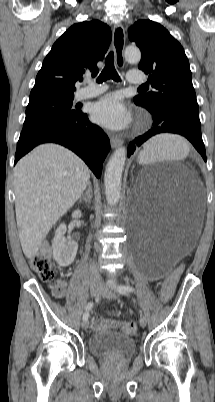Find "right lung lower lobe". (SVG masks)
I'll use <instances>...</instances> for the list:
<instances>
[{"instance_id":"right-lung-lower-lobe-1","label":"right lung lower lobe","mask_w":215,"mask_h":402,"mask_svg":"<svg viewBox=\"0 0 215 402\" xmlns=\"http://www.w3.org/2000/svg\"><path fill=\"white\" fill-rule=\"evenodd\" d=\"M47 142L69 148L84 160L96 177H100L103 161L110 150V141L100 127L90 123L87 114L80 112L75 118L18 143L15 163L35 146Z\"/></svg>"}]
</instances>
